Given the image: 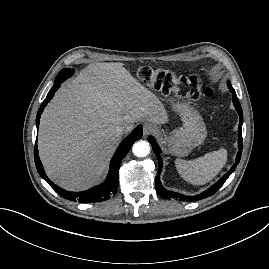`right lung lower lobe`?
Listing matches in <instances>:
<instances>
[{
	"label": "right lung lower lobe",
	"mask_w": 269,
	"mask_h": 269,
	"mask_svg": "<svg viewBox=\"0 0 269 269\" xmlns=\"http://www.w3.org/2000/svg\"><path fill=\"white\" fill-rule=\"evenodd\" d=\"M60 81H64L59 79ZM56 82L54 86L49 91L47 97L41 104L39 111L36 116L37 128L39 127L40 117L48 102L53 98L55 92L59 89L61 83ZM142 137V126H138L135 130L128 135L118 147L116 153L114 154L111 164L108 177L106 181L90 190L84 192H69L58 186H56L53 182H51L46 176L41 161L38 155L37 144H35L34 148V159L35 165L40 176L63 198H66L71 201H77L80 203H90V202H100L106 199H109L112 195L117 192V187L119 184V168L122 162V159L127 155L130 150L132 144L139 140ZM37 143V141H36Z\"/></svg>",
	"instance_id": "98d812e1"
}]
</instances>
